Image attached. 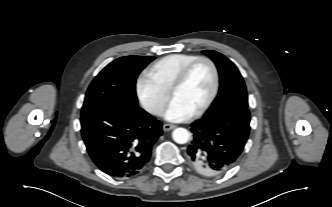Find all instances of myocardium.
<instances>
[{
	"label": "myocardium",
	"mask_w": 332,
	"mask_h": 207,
	"mask_svg": "<svg viewBox=\"0 0 332 207\" xmlns=\"http://www.w3.org/2000/svg\"><path fill=\"white\" fill-rule=\"evenodd\" d=\"M202 62L208 64L209 67L211 68V71L213 74V86H212V90H211L208 98L196 111L193 112V114H192L193 116H199V115L203 114L212 105L213 101L215 100V98L217 96L219 86H220V74H219V70H218V67L215 64V62L208 57H198V58L194 59L180 71V73L177 75V77L174 80V82L170 88V91H169L170 96L172 97L174 92L185 83V81L187 80L192 69L197 64L202 63Z\"/></svg>",
	"instance_id": "myocardium-1"
}]
</instances>
